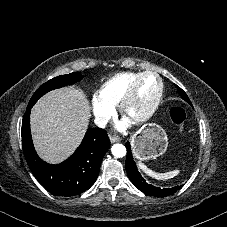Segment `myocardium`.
<instances>
[{"instance_id":"myocardium-1","label":"myocardium","mask_w":227,"mask_h":227,"mask_svg":"<svg viewBox=\"0 0 227 227\" xmlns=\"http://www.w3.org/2000/svg\"><path fill=\"white\" fill-rule=\"evenodd\" d=\"M148 76H151L156 80L157 91L150 103L141 112L137 114H130L129 108L134 103L137 97L139 85L141 81ZM163 89V82L156 72L144 71L139 73L138 76L132 81L126 94L118 104L121 116L134 125L144 123L153 115L158 105L160 104L163 97Z\"/></svg>"}]
</instances>
